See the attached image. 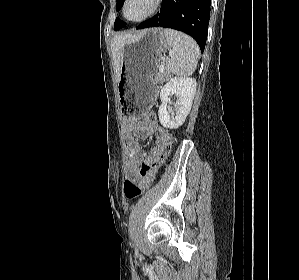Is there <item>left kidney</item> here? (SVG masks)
I'll return each mask as SVG.
<instances>
[{"label":"left kidney","mask_w":299,"mask_h":280,"mask_svg":"<svg viewBox=\"0 0 299 280\" xmlns=\"http://www.w3.org/2000/svg\"><path fill=\"white\" fill-rule=\"evenodd\" d=\"M196 80L194 78L174 77L171 78L161 89L160 99L162 104L159 107L158 115L160 123L168 129H177L188 116L193 99L196 93ZM175 95L176 113L170 116L167 105L170 102L169 96Z\"/></svg>","instance_id":"left-kidney-1"}]
</instances>
